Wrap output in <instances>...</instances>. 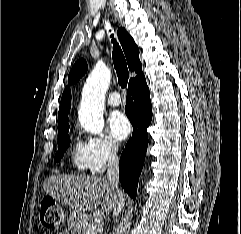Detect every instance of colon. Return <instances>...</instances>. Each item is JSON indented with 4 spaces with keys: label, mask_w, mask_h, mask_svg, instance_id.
<instances>
[{
    "label": "colon",
    "mask_w": 241,
    "mask_h": 234,
    "mask_svg": "<svg viewBox=\"0 0 241 234\" xmlns=\"http://www.w3.org/2000/svg\"><path fill=\"white\" fill-rule=\"evenodd\" d=\"M64 219V215L60 207L51 198H45L41 203L40 221L48 228L59 226Z\"/></svg>",
    "instance_id": "5ec220e1"
}]
</instances>
